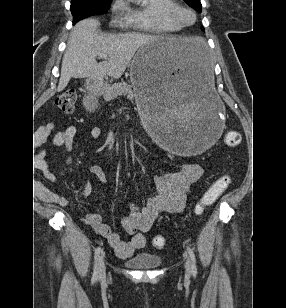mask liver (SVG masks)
Listing matches in <instances>:
<instances>
[{
    "instance_id": "obj_1",
    "label": "liver",
    "mask_w": 286,
    "mask_h": 308,
    "mask_svg": "<svg viewBox=\"0 0 286 308\" xmlns=\"http://www.w3.org/2000/svg\"><path fill=\"white\" fill-rule=\"evenodd\" d=\"M96 19L79 21L71 31L61 65L57 91H62L71 78H90L102 83L106 75L119 79L135 52L143 45L162 37L143 33L99 35ZM177 57L195 61L203 55L204 40L200 37H166ZM108 59L97 63L96 57Z\"/></svg>"
}]
</instances>
